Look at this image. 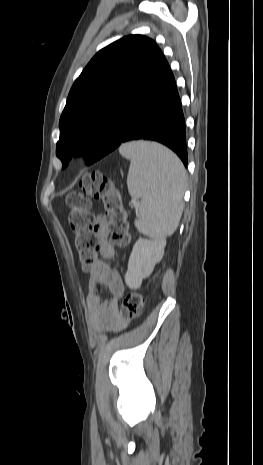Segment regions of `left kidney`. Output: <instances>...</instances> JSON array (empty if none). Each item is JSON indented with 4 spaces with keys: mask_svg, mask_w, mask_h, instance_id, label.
<instances>
[{
    "mask_svg": "<svg viewBox=\"0 0 263 465\" xmlns=\"http://www.w3.org/2000/svg\"><path fill=\"white\" fill-rule=\"evenodd\" d=\"M165 239L148 240L139 238L129 257L125 283L131 289H138L142 280L149 277L155 265L162 259Z\"/></svg>",
    "mask_w": 263,
    "mask_h": 465,
    "instance_id": "left-kidney-1",
    "label": "left kidney"
}]
</instances>
